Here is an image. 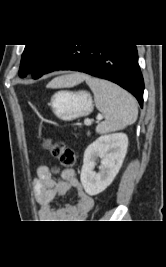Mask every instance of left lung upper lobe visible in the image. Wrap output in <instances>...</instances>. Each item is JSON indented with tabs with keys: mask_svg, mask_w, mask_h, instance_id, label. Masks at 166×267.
<instances>
[{
	"mask_svg": "<svg viewBox=\"0 0 166 267\" xmlns=\"http://www.w3.org/2000/svg\"><path fill=\"white\" fill-rule=\"evenodd\" d=\"M63 45H26L21 58L19 76L25 77L32 73L39 78L50 65Z\"/></svg>",
	"mask_w": 166,
	"mask_h": 267,
	"instance_id": "1",
	"label": "left lung upper lobe"
}]
</instances>
